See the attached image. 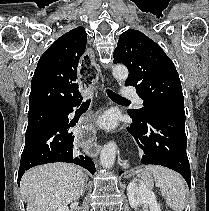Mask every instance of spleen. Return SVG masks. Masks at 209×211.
<instances>
[{"label": "spleen", "instance_id": "1", "mask_svg": "<svg viewBox=\"0 0 209 211\" xmlns=\"http://www.w3.org/2000/svg\"><path fill=\"white\" fill-rule=\"evenodd\" d=\"M147 170L153 175L166 204L174 211H183L186 203V186L183 178L173 170L162 166H149Z\"/></svg>", "mask_w": 209, "mask_h": 211}]
</instances>
